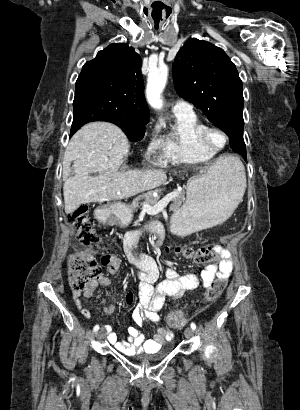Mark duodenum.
Returning <instances> with one entry per match:
<instances>
[{
  "label": "duodenum",
  "mask_w": 300,
  "mask_h": 410,
  "mask_svg": "<svg viewBox=\"0 0 300 410\" xmlns=\"http://www.w3.org/2000/svg\"><path fill=\"white\" fill-rule=\"evenodd\" d=\"M107 217H108V216H105V217L102 219V221L105 222Z\"/></svg>",
  "instance_id": "obj_1"
}]
</instances>
